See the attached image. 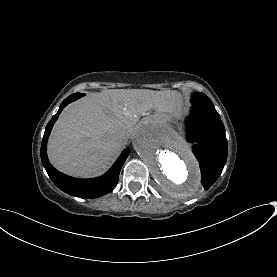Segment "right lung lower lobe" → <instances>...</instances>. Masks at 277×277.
<instances>
[{
  "label": "right lung lower lobe",
  "instance_id": "1",
  "mask_svg": "<svg viewBox=\"0 0 277 277\" xmlns=\"http://www.w3.org/2000/svg\"><path fill=\"white\" fill-rule=\"evenodd\" d=\"M79 93H75L66 98L58 112L48 122L41 143V160L53 183L65 193L80 198H97L111 192L119 180V173L127 156L130 154L129 148L125 149L114 165L104 175L94 179H76L57 171L50 163L46 153L47 141L51 129L57 120L62 109L72 101L80 98Z\"/></svg>",
  "mask_w": 277,
  "mask_h": 277
}]
</instances>
